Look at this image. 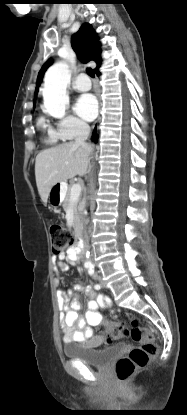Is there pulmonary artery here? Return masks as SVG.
Returning <instances> with one entry per match:
<instances>
[{
    "mask_svg": "<svg viewBox=\"0 0 187 415\" xmlns=\"http://www.w3.org/2000/svg\"><path fill=\"white\" fill-rule=\"evenodd\" d=\"M73 88L81 92L88 91L91 88V81L85 74H80L74 81Z\"/></svg>",
    "mask_w": 187,
    "mask_h": 415,
    "instance_id": "1",
    "label": "pulmonary artery"
}]
</instances>
